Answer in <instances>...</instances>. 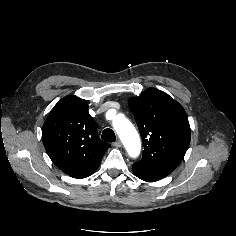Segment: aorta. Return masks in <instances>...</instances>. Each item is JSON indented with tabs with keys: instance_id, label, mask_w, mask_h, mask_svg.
I'll return each mask as SVG.
<instances>
[{
	"instance_id": "1",
	"label": "aorta",
	"mask_w": 236,
	"mask_h": 236,
	"mask_svg": "<svg viewBox=\"0 0 236 236\" xmlns=\"http://www.w3.org/2000/svg\"><path fill=\"white\" fill-rule=\"evenodd\" d=\"M113 126L128 154L136 158L140 153V138L133 124L125 117L116 118Z\"/></svg>"
}]
</instances>
